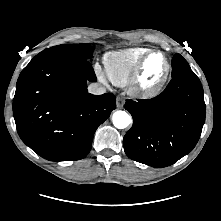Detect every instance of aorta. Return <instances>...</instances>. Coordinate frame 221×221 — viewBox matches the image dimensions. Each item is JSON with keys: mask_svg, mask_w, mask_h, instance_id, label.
<instances>
[{"mask_svg": "<svg viewBox=\"0 0 221 221\" xmlns=\"http://www.w3.org/2000/svg\"><path fill=\"white\" fill-rule=\"evenodd\" d=\"M112 121L116 128L124 129L132 123V118L127 112L118 110L113 113Z\"/></svg>", "mask_w": 221, "mask_h": 221, "instance_id": "762f6f07", "label": "aorta"}]
</instances>
